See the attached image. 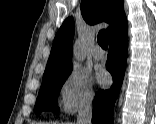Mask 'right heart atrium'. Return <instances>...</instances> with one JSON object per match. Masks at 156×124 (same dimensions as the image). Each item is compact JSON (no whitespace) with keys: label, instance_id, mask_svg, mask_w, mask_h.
<instances>
[{"label":"right heart atrium","instance_id":"1","mask_svg":"<svg viewBox=\"0 0 156 124\" xmlns=\"http://www.w3.org/2000/svg\"><path fill=\"white\" fill-rule=\"evenodd\" d=\"M62 111L71 115L88 108L95 99L93 82L80 68L71 69L64 77L59 90Z\"/></svg>","mask_w":156,"mask_h":124}]
</instances>
